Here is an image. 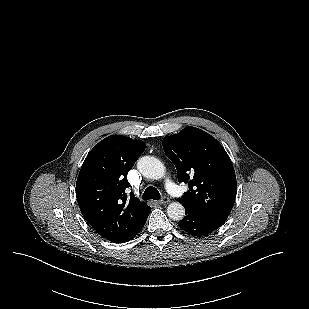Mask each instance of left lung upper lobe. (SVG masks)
<instances>
[{
    "label": "left lung upper lobe",
    "mask_w": 309,
    "mask_h": 309,
    "mask_svg": "<svg viewBox=\"0 0 309 309\" xmlns=\"http://www.w3.org/2000/svg\"><path fill=\"white\" fill-rule=\"evenodd\" d=\"M162 145L176 166L178 181L190 188L177 201L225 222L236 198L237 183L223 146L210 134L190 126L165 136Z\"/></svg>",
    "instance_id": "1"
}]
</instances>
